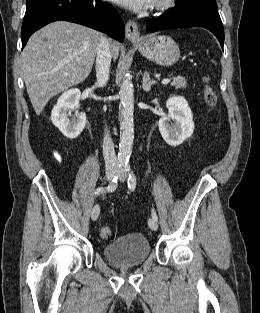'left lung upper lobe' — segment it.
I'll list each match as a JSON object with an SVG mask.
<instances>
[{"mask_svg":"<svg viewBox=\"0 0 260 313\" xmlns=\"http://www.w3.org/2000/svg\"><path fill=\"white\" fill-rule=\"evenodd\" d=\"M180 9H201L218 12L215 0H176Z\"/></svg>","mask_w":260,"mask_h":313,"instance_id":"obj_1","label":"left lung upper lobe"}]
</instances>
